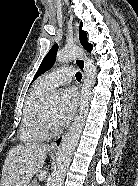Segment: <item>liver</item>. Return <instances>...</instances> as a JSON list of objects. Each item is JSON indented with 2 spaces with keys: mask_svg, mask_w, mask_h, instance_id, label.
Instances as JSON below:
<instances>
[{
  "mask_svg": "<svg viewBox=\"0 0 138 186\" xmlns=\"http://www.w3.org/2000/svg\"><path fill=\"white\" fill-rule=\"evenodd\" d=\"M48 146L29 143L12 147L5 159L0 186H28L44 165Z\"/></svg>",
  "mask_w": 138,
  "mask_h": 186,
  "instance_id": "6515ba94",
  "label": "liver"
}]
</instances>
